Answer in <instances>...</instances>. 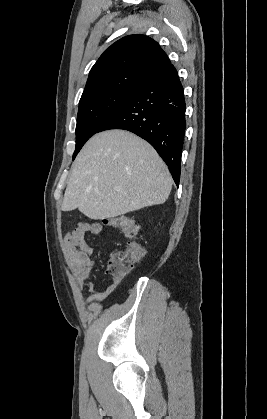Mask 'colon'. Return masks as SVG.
<instances>
[{
  "label": "colon",
  "instance_id": "1",
  "mask_svg": "<svg viewBox=\"0 0 267 419\" xmlns=\"http://www.w3.org/2000/svg\"><path fill=\"white\" fill-rule=\"evenodd\" d=\"M104 224L117 228L129 238L125 248L111 253L107 273L112 277H122L129 273L134 265L144 255L143 247L135 241L138 234V224L126 215H119L104 220Z\"/></svg>",
  "mask_w": 267,
  "mask_h": 419
}]
</instances>
